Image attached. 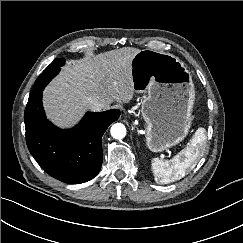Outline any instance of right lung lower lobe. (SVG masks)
Listing matches in <instances>:
<instances>
[{"instance_id":"right-lung-lower-lobe-1","label":"right lung lower lobe","mask_w":243,"mask_h":243,"mask_svg":"<svg viewBox=\"0 0 243 243\" xmlns=\"http://www.w3.org/2000/svg\"><path fill=\"white\" fill-rule=\"evenodd\" d=\"M60 71L47 67L35 81L24 113L26 143L31 155L50 176L70 184L94 178L102 165V136L116 121L119 110L88 112L71 130H61L50 123L42 105L45 86Z\"/></svg>"}]
</instances>
